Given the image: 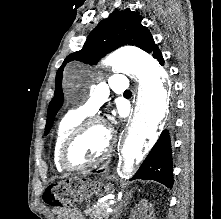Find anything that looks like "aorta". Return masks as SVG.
Segmentation results:
<instances>
[{
  "mask_svg": "<svg viewBox=\"0 0 221 219\" xmlns=\"http://www.w3.org/2000/svg\"><path fill=\"white\" fill-rule=\"evenodd\" d=\"M103 64L135 75L139 82L136 109L129 131L121 149V173L130 174L134 164L143 159L144 141L156 138L158 126L168 111V84L166 72L151 55L137 47H123L107 57ZM80 72L75 67L64 71V84L70 86L78 80Z\"/></svg>",
  "mask_w": 221,
  "mask_h": 219,
  "instance_id": "1",
  "label": "aorta"
}]
</instances>
